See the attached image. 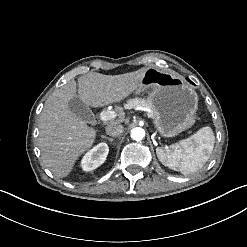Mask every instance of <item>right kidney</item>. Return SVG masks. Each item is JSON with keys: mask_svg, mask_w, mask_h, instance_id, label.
I'll return each mask as SVG.
<instances>
[{"mask_svg": "<svg viewBox=\"0 0 247 247\" xmlns=\"http://www.w3.org/2000/svg\"><path fill=\"white\" fill-rule=\"evenodd\" d=\"M109 153V146L105 142H100L89 149L81 158L78 168L83 172H91L101 166Z\"/></svg>", "mask_w": 247, "mask_h": 247, "instance_id": "1", "label": "right kidney"}]
</instances>
